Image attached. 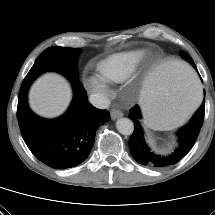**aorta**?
Here are the masks:
<instances>
[{
    "label": "aorta",
    "mask_w": 215,
    "mask_h": 215,
    "mask_svg": "<svg viewBox=\"0 0 215 215\" xmlns=\"http://www.w3.org/2000/svg\"><path fill=\"white\" fill-rule=\"evenodd\" d=\"M116 128L123 135H131L134 131L133 122L128 118H119L116 122Z\"/></svg>",
    "instance_id": "obj_1"
}]
</instances>
